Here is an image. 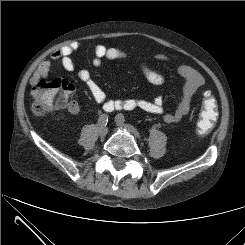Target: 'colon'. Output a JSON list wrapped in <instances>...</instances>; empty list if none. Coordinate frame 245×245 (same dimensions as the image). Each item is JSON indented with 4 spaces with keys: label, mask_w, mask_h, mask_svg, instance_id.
Returning a JSON list of instances; mask_svg holds the SVG:
<instances>
[{
    "label": "colon",
    "mask_w": 245,
    "mask_h": 245,
    "mask_svg": "<svg viewBox=\"0 0 245 245\" xmlns=\"http://www.w3.org/2000/svg\"><path fill=\"white\" fill-rule=\"evenodd\" d=\"M73 92L74 87L67 80H40L32 88V110L37 115H45L55 110L69 109ZM202 97V111L197 122V131L206 135L217 120V105L210 91L204 90Z\"/></svg>",
    "instance_id": "obj_1"
}]
</instances>
